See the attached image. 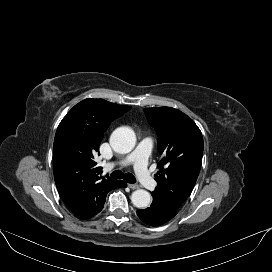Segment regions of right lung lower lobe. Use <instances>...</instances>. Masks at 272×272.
Returning a JSON list of instances; mask_svg holds the SVG:
<instances>
[{
  "label": "right lung lower lobe",
  "mask_w": 272,
  "mask_h": 272,
  "mask_svg": "<svg viewBox=\"0 0 272 272\" xmlns=\"http://www.w3.org/2000/svg\"><path fill=\"white\" fill-rule=\"evenodd\" d=\"M126 186H127V184L124 181H119V180L116 181V187L115 188H125Z\"/></svg>",
  "instance_id": "98d812e1"
}]
</instances>
